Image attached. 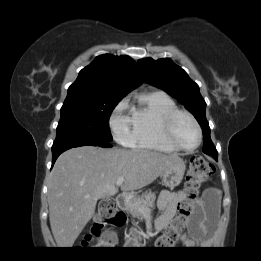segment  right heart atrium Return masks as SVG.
Masks as SVG:
<instances>
[{
	"label": "right heart atrium",
	"mask_w": 261,
	"mask_h": 261,
	"mask_svg": "<svg viewBox=\"0 0 261 261\" xmlns=\"http://www.w3.org/2000/svg\"><path fill=\"white\" fill-rule=\"evenodd\" d=\"M126 107L127 102L125 100L121 101L110 119L114 137L122 144H128L131 135L129 118L124 114Z\"/></svg>",
	"instance_id": "right-heart-atrium-1"
}]
</instances>
